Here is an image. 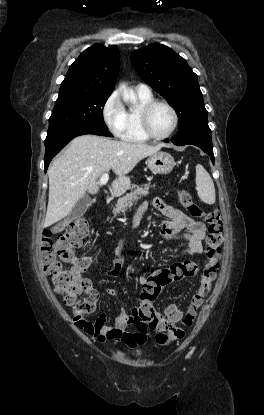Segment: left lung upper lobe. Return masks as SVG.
I'll return each mask as SVG.
<instances>
[{
	"mask_svg": "<svg viewBox=\"0 0 264 415\" xmlns=\"http://www.w3.org/2000/svg\"><path fill=\"white\" fill-rule=\"evenodd\" d=\"M131 63L141 78L174 107L179 119L178 133L208 122L198 77L184 58L154 43L134 51Z\"/></svg>",
	"mask_w": 264,
	"mask_h": 415,
	"instance_id": "1",
	"label": "left lung upper lobe"
}]
</instances>
